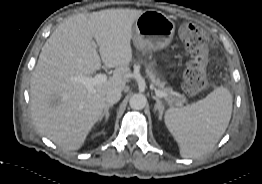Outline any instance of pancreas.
I'll return each instance as SVG.
<instances>
[{
	"instance_id": "obj_1",
	"label": "pancreas",
	"mask_w": 262,
	"mask_h": 184,
	"mask_svg": "<svg viewBox=\"0 0 262 184\" xmlns=\"http://www.w3.org/2000/svg\"><path fill=\"white\" fill-rule=\"evenodd\" d=\"M147 73L149 74V77L153 84L157 86L161 91L165 92L167 94L166 100L169 104L173 105H179L185 102V98L174 92L171 88L165 87V82H161L159 78H156L155 74L150 68H147Z\"/></svg>"
}]
</instances>
